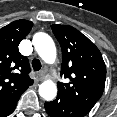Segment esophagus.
Wrapping results in <instances>:
<instances>
[{
	"mask_svg": "<svg viewBox=\"0 0 117 117\" xmlns=\"http://www.w3.org/2000/svg\"><path fill=\"white\" fill-rule=\"evenodd\" d=\"M45 78V71H40L38 73V79L42 81Z\"/></svg>",
	"mask_w": 117,
	"mask_h": 117,
	"instance_id": "1",
	"label": "esophagus"
}]
</instances>
